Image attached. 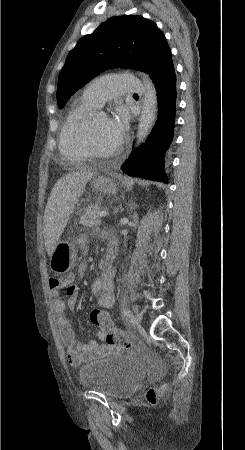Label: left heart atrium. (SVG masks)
<instances>
[{"label":"left heart atrium","mask_w":245,"mask_h":450,"mask_svg":"<svg viewBox=\"0 0 245 450\" xmlns=\"http://www.w3.org/2000/svg\"><path fill=\"white\" fill-rule=\"evenodd\" d=\"M128 114L125 110H118L115 116L108 121V130L113 142L120 146L128 129Z\"/></svg>","instance_id":"obj_1"}]
</instances>
